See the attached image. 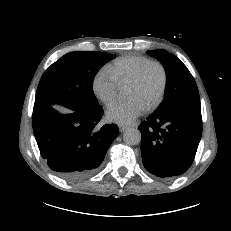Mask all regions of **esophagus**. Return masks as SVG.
Instances as JSON below:
<instances>
[{
    "label": "esophagus",
    "mask_w": 231,
    "mask_h": 231,
    "mask_svg": "<svg viewBox=\"0 0 231 231\" xmlns=\"http://www.w3.org/2000/svg\"><path fill=\"white\" fill-rule=\"evenodd\" d=\"M128 128L127 125H119L120 132H124Z\"/></svg>",
    "instance_id": "1"
}]
</instances>
